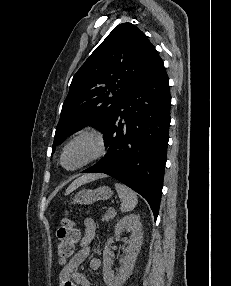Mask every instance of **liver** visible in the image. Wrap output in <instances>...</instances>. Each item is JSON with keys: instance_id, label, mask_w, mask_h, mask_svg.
I'll use <instances>...</instances> for the list:
<instances>
[{"instance_id": "liver-1", "label": "liver", "mask_w": 231, "mask_h": 286, "mask_svg": "<svg viewBox=\"0 0 231 286\" xmlns=\"http://www.w3.org/2000/svg\"><path fill=\"white\" fill-rule=\"evenodd\" d=\"M104 175L102 174H86L83 175L81 177H79L78 179H76L66 190L65 194L68 195L71 192H73L75 189H77L78 187H80L81 185L88 183L90 181H94L100 178H103Z\"/></svg>"}]
</instances>
